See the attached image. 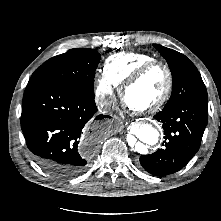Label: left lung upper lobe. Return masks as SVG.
<instances>
[{"instance_id": "5c2ea615", "label": "left lung upper lobe", "mask_w": 221, "mask_h": 221, "mask_svg": "<svg viewBox=\"0 0 221 221\" xmlns=\"http://www.w3.org/2000/svg\"><path fill=\"white\" fill-rule=\"evenodd\" d=\"M153 46L166 59L172 73V94L165 107L195 97H208L199 71L185 55L159 44Z\"/></svg>"}]
</instances>
